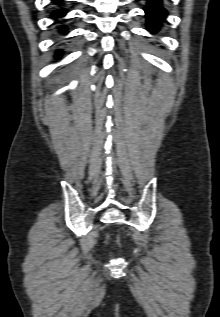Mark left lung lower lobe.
I'll list each match as a JSON object with an SVG mask.
<instances>
[{
  "mask_svg": "<svg viewBox=\"0 0 220 317\" xmlns=\"http://www.w3.org/2000/svg\"><path fill=\"white\" fill-rule=\"evenodd\" d=\"M147 25L150 31L158 30L159 24L164 20L167 12L162 8L161 0H148L145 7Z\"/></svg>",
  "mask_w": 220,
  "mask_h": 317,
  "instance_id": "left-lung-lower-lobe-1",
  "label": "left lung lower lobe"
}]
</instances>
